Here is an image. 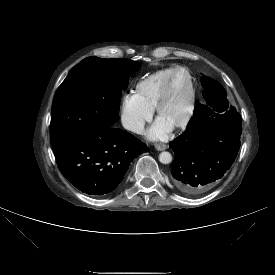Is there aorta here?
<instances>
[{
    "label": "aorta",
    "mask_w": 275,
    "mask_h": 275,
    "mask_svg": "<svg viewBox=\"0 0 275 275\" xmlns=\"http://www.w3.org/2000/svg\"><path fill=\"white\" fill-rule=\"evenodd\" d=\"M159 161L162 164H169L172 162V155L169 152L164 151V152L160 153Z\"/></svg>",
    "instance_id": "1"
}]
</instances>
